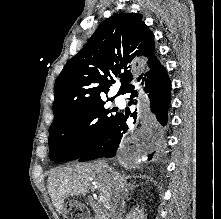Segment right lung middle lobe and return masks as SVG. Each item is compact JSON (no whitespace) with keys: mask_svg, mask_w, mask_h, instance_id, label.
I'll use <instances>...</instances> for the list:
<instances>
[{"mask_svg":"<svg viewBox=\"0 0 221 219\" xmlns=\"http://www.w3.org/2000/svg\"><path fill=\"white\" fill-rule=\"evenodd\" d=\"M110 100H113L110 99ZM103 100L79 107L54 121L49 128V157L65 162L79 159L107 134L119 113Z\"/></svg>","mask_w":221,"mask_h":219,"instance_id":"dd1d6c3e","label":"right lung middle lobe"}]
</instances>
